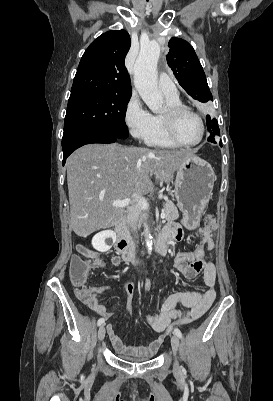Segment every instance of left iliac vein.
<instances>
[{"label": "left iliac vein", "mask_w": 273, "mask_h": 401, "mask_svg": "<svg viewBox=\"0 0 273 401\" xmlns=\"http://www.w3.org/2000/svg\"><path fill=\"white\" fill-rule=\"evenodd\" d=\"M171 344H172L173 353L175 355V359H177V351L179 349L180 342H179V338L176 335L171 336ZM173 370L175 373H180V366H179V363L177 360H175V362H174Z\"/></svg>", "instance_id": "1"}]
</instances>
